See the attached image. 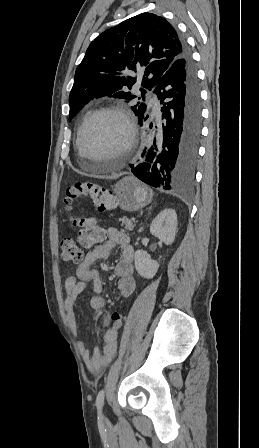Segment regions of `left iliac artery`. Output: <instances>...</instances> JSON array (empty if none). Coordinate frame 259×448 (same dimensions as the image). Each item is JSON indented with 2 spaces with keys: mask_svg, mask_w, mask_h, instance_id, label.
<instances>
[{
  "mask_svg": "<svg viewBox=\"0 0 259 448\" xmlns=\"http://www.w3.org/2000/svg\"><path fill=\"white\" fill-rule=\"evenodd\" d=\"M104 396H105V391L104 390H100L97 398H96V406L99 410H101L103 408L104 405Z\"/></svg>",
  "mask_w": 259,
  "mask_h": 448,
  "instance_id": "1",
  "label": "left iliac artery"
}]
</instances>
